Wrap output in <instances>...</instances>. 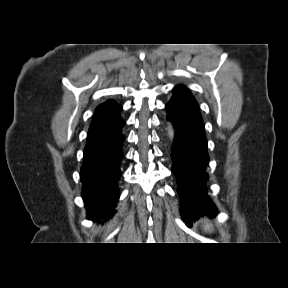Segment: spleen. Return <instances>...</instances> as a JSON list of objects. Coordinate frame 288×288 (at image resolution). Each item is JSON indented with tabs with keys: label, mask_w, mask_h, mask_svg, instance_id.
<instances>
[{
	"label": "spleen",
	"mask_w": 288,
	"mask_h": 288,
	"mask_svg": "<svg viewBox=\"0 0 288 288\" xmlns=\"http://www.w3.org/2000/svg\"><path fill=\"white\" fill-rule=\"evenodd\" d=\"M211 229H212V225H210V224L207 223V224L205 225V230H206V231H211Z\"/></svg>",
	"instance_id": "1"
}]
</instances>
